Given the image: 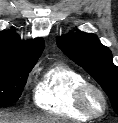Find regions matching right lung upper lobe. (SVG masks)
<instances>
[{
  "label": "right lung upper lobe",
  "mask_w": 118,
  "mask_h": 123,
  "mask_svg": "<svg viewBox=\"0 0 118 123\" xmlns=\"http://www.w3.org/2000/svg\"><path fill=\"white\" fill-rule=\"evenodd\" d=\"M42 38L22 41L13 31H0V60L33 68L44 50Z\"/></svg>",
  "instance_id": "cb5924a9"
}]
</instances>
